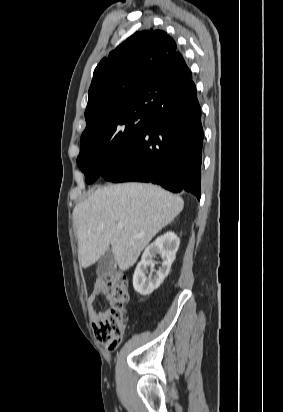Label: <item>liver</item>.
Returning a JSON list of instances; mask_svg holds the SVG:
<instances>
[{"label": "liver", "instance_id": "liver-1", "mask_svg": "<svg viewBox=\"0 0 283 412\" xmlns=\"http://www.w3.org/2000/svg\"><path fill=\"white\" fill-rule=\"evenodd\" d=\"M184 201L145 183L98 188L73 210L82 268L96 263L109 249L119 269L135 264L152 238L182 211ZM122 223L123 227H117Z\"/></svg>", "mask_w": 283, "mask_h": 412}]
</instances>
